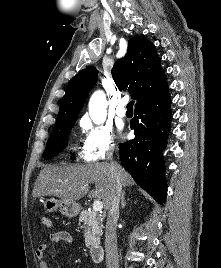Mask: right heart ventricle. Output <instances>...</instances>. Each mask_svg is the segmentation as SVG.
<instances>
[{
    "label": "right heart ventricle",
    "mask_w": 221,
    "mask_h": 268,
    "mask_svg": "<svg viewBox=\"0 0 221 268\" xmlns=\"http://www.w3.org/2000/svg\"><path fill=\"white\" fill-rule=\"evenodd\" d=\"M79 156H80V158H81L82 160H84V161H88V160L86 159V157L84 156L83 152H80Z\"/></svg>",
    "instance_id": "right-heart-ventricle-1"
}]
</instances>
